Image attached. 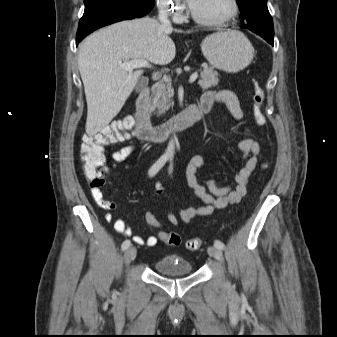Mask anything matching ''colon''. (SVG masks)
Wrapping results in <instances>:
<instances>
[{"mask_svg": "<svg viewBox=\"0 0 337 337\" xmlns=\"http://www.w3.org/2000/svg\"><path fill=\"white\" fill-rule=\"evenodd\" d=\"M265 92L262 84L258 80L253 81L252 109L254 120L257 125L266 124V117L263 112ZM133 121L124 119L116 121L100 131L91 134H84L80 145V158L83 163V173L86 179L94 187H101L104 184L102 167L106 161L104 149L122 141L132 130ZM265 167V165H263ZM160 239L167 245L178 246L181 244V236L176 232L162 231L159 233ZM187 249L198 250L202 245V240L198 237L190 238L185 243Z\"/></svg>", "mask_w": 337, "mask_h": 337, "instance_id": "1", "label": "colon"}]
</instances>
